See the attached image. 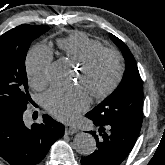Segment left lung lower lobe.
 Segmentation results:
<instances>
[{"label":"left lung lower lobe","mask_w":165,"mask_h":165,"mask_svg":"<svg viewBox=\"0 0 165 165\" xmlns=\"http://www.w3.org/2000/svg\"><path fill=\"white\" fill-rule=\"evenodd\" d=\"M96 131H90L96 139L97 149L82 157V165H120L135 145L140 129L116 122H100L91 119Z\"/></svg>","instance_id":"1"}]
</instances>
